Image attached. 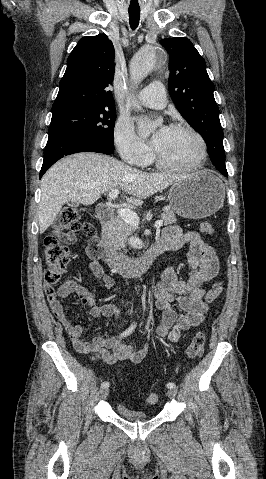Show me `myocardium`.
Instances as JSON below:
<instances>
[{
  "label": "myocardium",
  "mask_w": 266,
  "mask_h": 479,
  "mask_svg": "<svg viewBox=\"0 0 266 479\" xmlns=\"http://www.w3.org/2000/svg\"><path fill=\"white\" fill-rule=\"evenodd\" d=\"M168 129L183 130V131H187L190 134H192L198 142L199 154H198L197 159L193 163L175 165V164H169V163L164 162L158 156V154L155 152L154 153V161H155L156 165L160 169L165 170V171H196V170L200 169L203 166V164H204V162L207 158V144H206L203 136L195 128H193L192 126H190L188 124H185V123L171 124L168 127Z\"/></svg>",
  "instance_id": "f54148a6"
}]
</instances>
